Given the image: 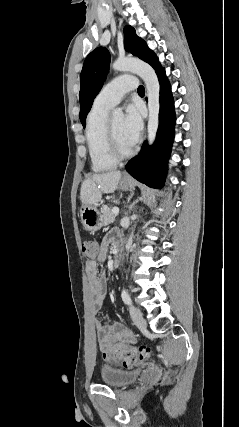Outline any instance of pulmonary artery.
Returning <instances> with one entry per match:
<instances>
[{
  "label": "pulmonary artery",
  "mask_w": 239,
  "mask_h": 427,
  "mask_svg": "<svg viewBox=\"0 0 239 427\" xmlns=\"http://www.w3.org/2000/svg\"><path fill=\"white\" fill-rule=\"evenodd\" d=\"M137 88L134 76L122 75L105 85L95 98L94 104L112 108L117 105L126 93Z\"/></svg>",
  "instance_id": "pulmonary-artery-1"
}]
</instances>
